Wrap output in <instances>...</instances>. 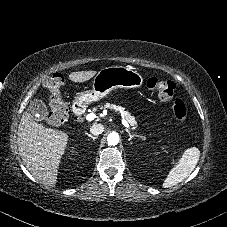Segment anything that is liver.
Here are the masks:
<instances>
[{"label": "liver", "instance_id": "1", "mask_svg": "<svg viewBox=\"0 0 227 227\" xmlns=\"http://www.w3.org/2000/svg\"><path fill=\"white\" fill-rule=\"evenodd\" d=\"M96 73L72 72L69 79L82 83L90 80ZM17 135L19 153L28 171L39 182L54 187L57 183L60 160L68 144V133L39 124L26 111L22 115Z\"/></svg>", "mask_w": 227, "mask_h": 227}]
</instances>
